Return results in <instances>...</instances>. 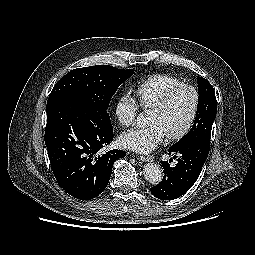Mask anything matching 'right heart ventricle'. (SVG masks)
<instances>
[{"instance_id": "e07e8e85", "label": "right heart ventricle", "mask_w": 255, "mask_h": 255, "mask_svg": "<svg viewBox=\"0 0 255 255\" xmlns=\"http://www.w3.org/2000/svg\"><path fill=\"white\" fill-rule=\"evenodd\" d=\"M179 84L181 81L174 76L168 74L152 75L136 86L137 102L143 109H151L169 89Z\"/></svg>"}]
</instances>
